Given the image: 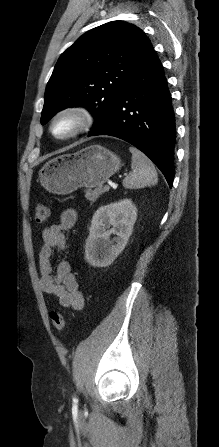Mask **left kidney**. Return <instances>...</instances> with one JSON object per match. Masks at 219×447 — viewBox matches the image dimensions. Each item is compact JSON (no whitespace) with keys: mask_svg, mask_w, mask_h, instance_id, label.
Listing matches in <instances>:
<instances>
[{"mask_svg":"<svg viewBox=\"0 0 219 447\" xmlns=\"http://www.w3.org/2000/svg\"><path fill=\"white\" fill-rule=\"evenodd\" d=\"M137 218L130 199L101 206L94 213L85 245V259L93 267H107L125 248ZM110 226L113 228L109 229ZM117 235L110 240V235Z\"/></svg>","mask_w":219,"mask_h":447,"instance_id":"5707ae66","label":"left kidney"}]
</instances>
